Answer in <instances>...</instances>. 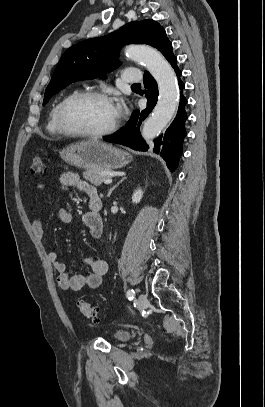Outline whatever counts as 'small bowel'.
I'll list each match as a JSON object with an SVG mask.
<instances>
[{
  "label": "small bowel",
  "instance_id": "obj_1",
  "mask_svg": "<svg viewBox=\"0 0 265 407\" xmlns=\"http://www.w3.org/2000/svg\"><path fill=\"white\" fill-rule=\"evenodd\" d=\"M58 186L64 190L77 188L85 191L89 195V210L84 214L83 222L88 227L92 237L100 238L103 233L102 219L98 212H95L91 207V201L98 198L95 188L82 181L80 177L73 172L61 174ZM37 188L39 190L42 189L43 184H38ZM57 218L62 223H70L73 220L71 209L65 206L59 207L57 210ZM32 230L38 239H43V225L41 220L37 217H34L32 220ZM48 257L57 271V283L63 290L80 291L85 287L97 288L101 285L102 278L108 269L107 262L104 259L88 257L83 261L84 266L88 268V272L86 274H71L57 251H50Z\"/></svg>",
  "mask_w": 265,
  "mask_h": 407
}]
</instances>
